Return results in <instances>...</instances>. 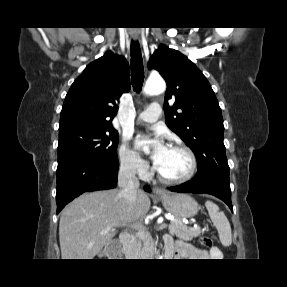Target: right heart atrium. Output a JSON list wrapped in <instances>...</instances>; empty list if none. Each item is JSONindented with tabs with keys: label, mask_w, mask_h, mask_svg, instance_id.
Wrapping results in <instances>:
<instances>
[{
	"label": "right heart atrium",
	"mask_w": 287,
	"mask_h": 287,
	"mask_svg": "<svg viewBox=\"0 0 287 287\" xmlns=\"http://www.w3.org/2000/svg\"><path fill=\"white\" fill-rule=\"evenodd\" d=\"M119 160L122 168L141 178H146L150 174L148 163L132 150L126 142L122 143L119 148Z\"/></svg>",
	"instance_id": "1"
}]
</instances>
